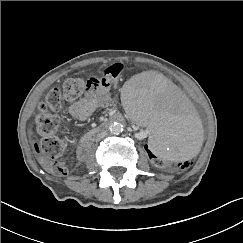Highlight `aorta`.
I'll return each instance as SVG.
<instances>
[{"label": "aorta", "mask_w": 243, "mask_h": 243, "mask_svg": "<svg viewBox=\"0 0 243 243\" xmlns=\"http://www.w3.org/2000/svg\"><path fill=\"white\" fill-rule=\"evenodd\" d=\"M108 130L111 134H120L123 131V125L118 121H111Z\"/></svg>", "instance_id": "1"}]
</instances>
